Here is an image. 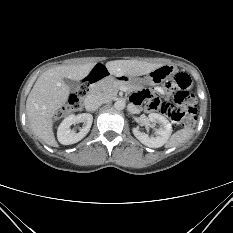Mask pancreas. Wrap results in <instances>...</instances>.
Wrapping results in <instances>:
<instances>
[{"mask_svg": "<svg viewBox=\"0 0 233 233\" xmlns=\"http://www.w3.org/2000/svg\"><path fill=\"white\" fill-rule=\"evenodd\" d=\"M122 86L126 85L119 81H111L109 79H105L99 83L100 92L107 98L116 96ZM127 88L129 87L127 86Z\"/></svg>", "mask_w": 233, "mask_h": 233, "instance_id": "pancreas-1", "label": "pancreas"}]
</instances>
